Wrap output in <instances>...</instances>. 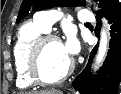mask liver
Masks as SVG:
<instances>
[{"label": "liver", "mask_w": 121, "mask_h": 94, "mask_svg": "<svg viewBox=\"0 0 121 94\" xmlns=\"http://www.w3.org/2000/svg\"><path fill=\"white\" fill-rule=\"evenodd\" d=\"M27 94H33V93H27ZM35 94H62V92L56 90H50V91H41Z\"/></svg>", "instance_id": "obj_1"}]
</instances>
